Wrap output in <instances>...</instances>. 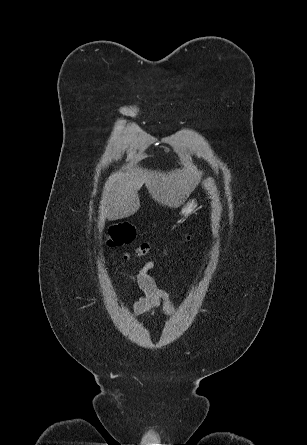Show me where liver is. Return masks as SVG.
Returning a JSON list of instances; mask_svg holds the SVG:
<instances>
[{
	"mask_svg": "<svg viewBox=\"0 0 307 445\" xmlns=\"http://www.w3.org/2000/svg\"><path fill=\"white\" fill-rule=\"evenodd\" d=\"M200 178L198 168L192 164L168 172L150 170L139 164L125 166L106 180L99 206L100 216L117 220L135 214L141 206L138 190L143 184L154 200L170 208H178L190 196Z\"/></svg>",
	"mask_w": 307,
	"mask_h": 445,
	"instance_id": "1",
	"label": "liver"
}]
</instances>
